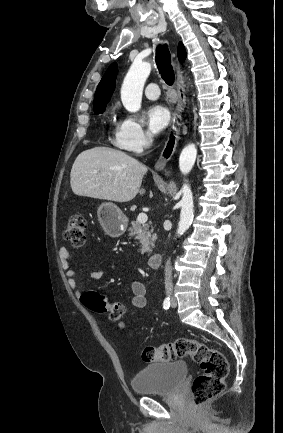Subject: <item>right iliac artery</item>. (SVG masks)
I'll return each instance as SVG.
<instances>
[{
	"label": "right iliac artery",
	"instance_id": "1",
	"mask_svg": "<svg viewBox=\"0 0 283 433\" xmlns=\"http://www.w3.org/2000/svg\"><path fill=\"white\" fill-rule=\"evenodd\" d=\"M169 307H170V298L167 297V298H165V300H164V302H163V308H164L165 310H167V309H169Z\"/></svg>",
	"mask_w": 283,
	"mask_h": 433
}]
</instances>
